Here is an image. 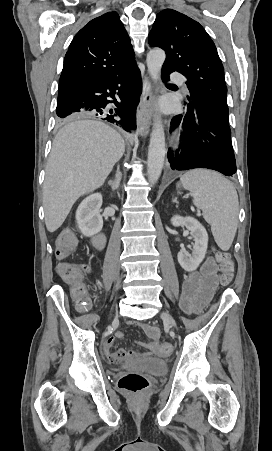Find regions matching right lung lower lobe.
Here are the masks:
<instances>
[{"label":"right lung lower lobe","instance_id":"right-lung-lower-lobe-1","mask_svg":"<svg viewBox=\"0 0 272 451\" xmlns=\"http://www.w3.org/2000/svg\"><path fill=\"white\" fill-rule=\"evenodd\" d=\"M141 94L140 71L133 62L111 77L59 91L57 122L96 118L131 132L136 127L135 111ZM121 103L117 102V99ZM114 103L115 114H107V104ZM110 113H113L110 110Z\"/></svg>","mask_w":272,"mask_h":451}]
</instances>
